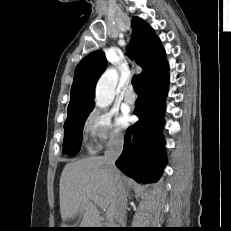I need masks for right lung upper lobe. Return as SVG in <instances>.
<instances>
[{"label": "right lung upper lobe", "instance_id": "cb5924a9", "mask_svg": "<svg viewBox=\"0 0 231 231\" xmlns=\"http://www.w3.org/2000/svg\"><path fill=\"white\" fill-rule=\"evenodd\" d=\"M132 31L134 48L131 46L129 53L143 68L140 74L142 84L168 71V62L159 38L142 19L133 18ZM105 68L106 57L100 50L88 54L77 65L71 87L68 115L93 108L95 86Z\"/></svg>", "mask_w": 231, "mask_h": 231}]
</instances>
